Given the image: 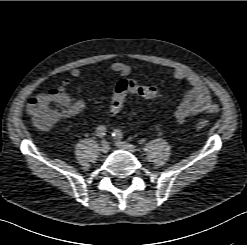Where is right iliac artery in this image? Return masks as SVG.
<instances>
[{
  "label": "right iliac artery",
  "mask_w": 247,
  "mask_h": 245,
  "mask_svg": "<svg viewBox=\"0 0 247 245\" xmlns=\"http://www.w3.org/2000/svg\"><path fill=\"white\" fill-rule=\"evenodd\" d=\"M96 134L99 137H104L106 135V127L103 125H100L99 127H97L96 129Z\"/></svg>",
  "instance_id": "82829eb1"
}]
</instances>
